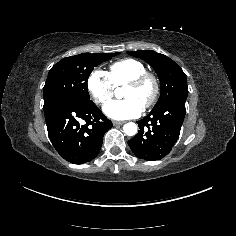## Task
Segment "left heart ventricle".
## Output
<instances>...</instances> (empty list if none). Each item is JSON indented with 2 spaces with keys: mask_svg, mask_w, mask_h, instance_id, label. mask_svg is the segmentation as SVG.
Instances as JSON below:
<instances>
[{
  "mask_svg": "<svg viewBox=\"0 0 236 236\" xmlns=\"http://www.w3.org/2000/svg\"><path fill=\"white\" fill-rule=\"evenodd\" d=\"M150 89L149 83H144L138 87H125L123 97L133 99L143 106L149 97Z\"/></svg>",
  "mask_w": 236,
  "mask_h": 236,
  "instance_id": "1",
  "label": "left heart ventricle"
}]
</instances>
